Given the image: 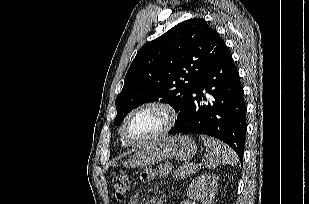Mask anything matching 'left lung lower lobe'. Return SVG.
Segmentation results:
<instances>
[{"label": "left lung lower lobe", "mask_w": 309, "mask_h": 204, "mask_svg": "<svg viewBox=\"0 0 309 204\" xmlns=\"http://www.w3.org/2000/svg\"><path fill=\"white\" fill-rule=\"evenodd\" d=\"M205 90L214 100L207 105ZM246 103L239 73L226 49L218 62L201 76L187 105L169 133L205 134L227 143L242 158L245 147Z\"/></svg>", "instance_id": "0a47b994"}]
</instances>
